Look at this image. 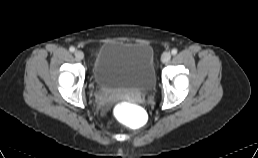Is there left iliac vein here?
I'll use <instances>...</instances> for the list:
<instances>
[{
	"instance_id": "obj_1",
	"label": "left iliac vein",
	"mask_w": 258,
	"mask_h": 158,
	"mask_svg": "<svg viewBox=\"0 0 258 158\" xmlns=\"http://www.w3.org/2000/svg\"><path fill=\"white\" fill-rule=\"evenodd\" d=\"M170 59H171V54L169 52L163 53L162 58H161L163 63L169 62Z\"/></svg>"
}]
</instances>
